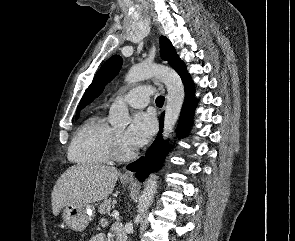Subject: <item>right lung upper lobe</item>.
Instances as JSON below:
<instances>
[{"label":"right lung upper lobe","instance_id":"obj_1","mask_svg":"<svg viewBox=\"0 0 295 241\" xmlns=\"http://www.w3.org/2000/svg\"><path fill=\"white\" fill-rule=\"evenodd\" d=\"M78 116H79V110L77 111V115H76V118H78Z\"/></svg>","mask_w":295,"mask_h":241}]
</instances>
